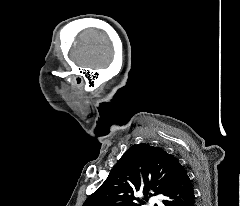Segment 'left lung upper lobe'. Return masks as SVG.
Masks as SVG:
<instances>
[{"mask_svg":"<svg viewBox=\"0 0 240 206\" xmlns=\"http://www.w3.org/2000/svg\"><path fill=\"white\" fill-rule=\"evenodd\" d=\"M177 159L163 149L149 144L131 146L111 170L104 183L83 206H140L136 191L148 198L165 195L177 171ZM157 206V205H155Z\"/></svg>","mask_w":240,"mask_h":206,"instance_id":"1","label":"left lung upper lobe"}]
</instances>
